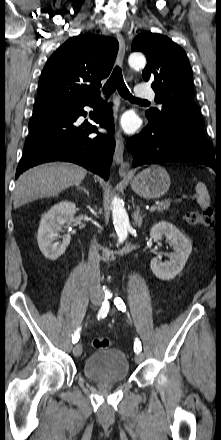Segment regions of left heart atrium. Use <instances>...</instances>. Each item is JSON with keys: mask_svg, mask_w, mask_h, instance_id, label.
<instances>
[{"mask_svg": "<svg viewBox=\"0 0 221 440\" xmlns=\"http://www.w3.org/2000/svg\"><path fill=\"white\" fill-rule=\"evenodd\" d=\"M122 126L126 131H134L137 126L135 118L130 114L125 115L122 119Z\"/></svg>", "mask_w": 221, "mask_h": 440, "instance_id": "39dd6f15", "label": "left heart atrium"}]
</instances>
